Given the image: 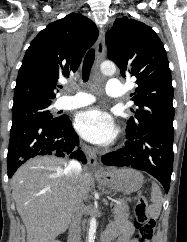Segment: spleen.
I'll return each mask as SVG.
<instances>
[{
  "label": "spleen",
  "instance_id": "spleen-1",
  "mask_svg": "<svg viewBox=\"0 0 187 242\" xmlns=\"http://www.w3.org/2000/svg\"><path fill=\"white\" fill-rule=\"evenodd\" d=\"M151 200L152 205L149 207V215L153 219H157L161 212L163 196L160 187L154 182L152 183Z\"/></svg>",
  "mask_w": 187,
  "mask_h": 242
}]
</instances>
